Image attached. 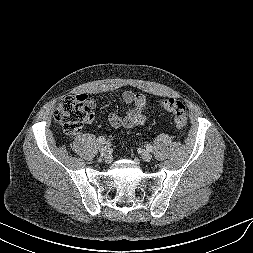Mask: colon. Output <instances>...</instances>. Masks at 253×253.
I'll list each match as a JSON object with an SVG mask.
<instances>
[{
  "label": "colon",
  "instance_id": "1",
  "mask_svg": "<svg viewBox=\"0 0 253 253\" xmlns=\"http://www.w3.org/2000/svg\"><path fill=\"white\" fill-rule=\"evenodd\" d=\"M163 110L174 116L175 125L178 128L185 127L187 123V112L185 105L176 99L169 98L160 102ZM93 113L85 96L64 97L55 112V120L69 135L77 134L82 125L91 121Z\"/></svg>",
  "mask_w": 253,
  "mask_h": 253
}]
</instances>
